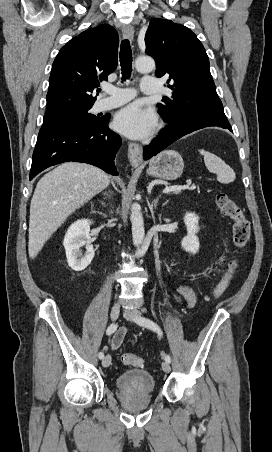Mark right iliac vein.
<instances>
[{
    "label": "right iliac vein",
    "mask_w": 272,
    "mask_h": 452,
    "mask_svg": "<svg viewBox=\"0 0 272 452\" xmlns=\"http://www.w3.org/2000/svg\"><path fill=\"white\" fill-rule=\"evenodd\" d=\"M120 314V306L119 304L113 305L111 308L110 316L113 321L117 320ZM111 364V357L110 355H106L102 361L103 367H108Z\"/></svg>",
    "instance_id": "63e3f726"
}]
</instances>
